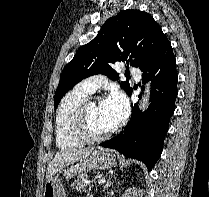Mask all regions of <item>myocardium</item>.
I'll return each mask as SVG.
<instances>
[{"label": "myocardium", "instance_id": "f54148a6", "mask_svg": "<svg viewBox=\"0 0 209 197\" xmlns=\"http://www.w3.org/2000/svg\"><path fill=\"white\" fill-rule=\"evenodd\" d=\"M100 100L99 96H90L74 111L70 119V133L74 139L82 143H94L108 138L115 131V128H111L101 134H93L88 129V110L91 105Z\"/></svg>", "mask_w": 209, "mask_h": 197}]
</instances>
